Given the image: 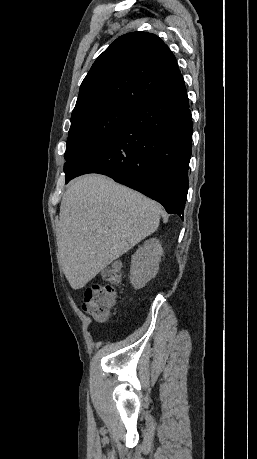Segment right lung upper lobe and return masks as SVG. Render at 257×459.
Wrapping results in <instances>:
<instances>
[{"mask_svg": "<svg viewBox=\"0 0 257 459\" xmlns=\"http://www.w3.org/2000/svg\"><path fill=\"white\" fill-rule=\"evenodd\" d=\"M182 78L175 56L159 37L127 33L92 65L80 86L71 120L108 106L137 108Z\"/></svg>", "mask_w": 257, "mask_h": 459, "instance_id": "cb5924a9", "label": "right lung upper lobe"}]
</instances>
